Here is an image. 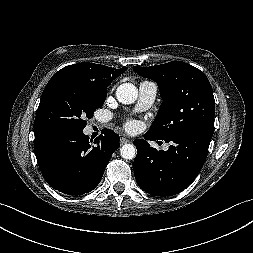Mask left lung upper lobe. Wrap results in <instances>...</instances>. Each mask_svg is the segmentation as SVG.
Listing matches in <instances>:
<instances>
[{
    "instance_id": "1",
    "label": "left lung upper lobe",
    "mask_w": 253,
    "mask_h": 253,
    "mask_svg": "<svg viewBox=\"0 0 253 253\" xmlns=\"http://www.w3.org/2000/svg\"><path fill=\"white\" fill-rule=\"evenodd\" d=\"M133 68L140 76L155 81L163 98L148 133L161 140L195 131L213 134L215 100L201 70L182 61Z\"/></svg>"
}]
</instances>
